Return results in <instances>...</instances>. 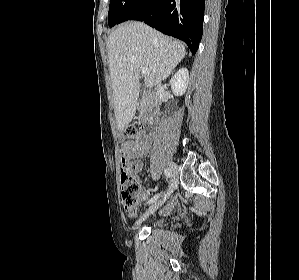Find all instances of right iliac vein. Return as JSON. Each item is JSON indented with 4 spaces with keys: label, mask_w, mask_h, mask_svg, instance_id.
I'll list each match as a JSON object with an SVG mask.
<instances>
[{
    "label": "right iliac vein",
    "mask_w": 299,
    "mask_h": 280,
    "mask_svg": "<svg viewBox=\"0 0 299 280\" xmlns=\"http://www.w3.org/2000/svg\"><path fill=\"white\" fill-rule=\"evenodd\" d=\"M170 171L172 173L171 184L169 186L168 192L164 195L162 199L152 204L149 209L144 214L143 218H141L138 222L140 223L142 220L147 218L149 215L153 214L165 201L166 199L173 193V191L177 188L178 185V168L175 163L170 164Z\"/></svg>",
    "instance_id": "right-iliac-vein-1"
}]
</instances>
